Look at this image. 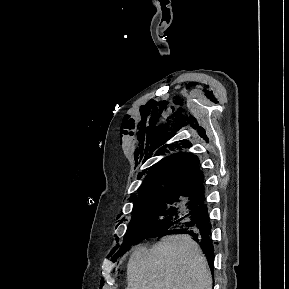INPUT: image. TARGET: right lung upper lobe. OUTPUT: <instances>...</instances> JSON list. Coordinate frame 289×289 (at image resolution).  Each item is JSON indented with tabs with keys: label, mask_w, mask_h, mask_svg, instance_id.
<instances>
[{
	"label": "right lung upper lobe",
	"mask_w": 289,
	"mask_h": 289,
	"mask_svg": "<svg viewBox=\"0 0 289 289\" xmlns=\"http://www.w3.org/2000/svg\"><path fill=\"white\" fill-rule=\"evenodd\" d=\"M138 194V198L168 194L202 195L203 173L198 158L192 154H177L163 159L149 169Z\"/></svg>",
	"instance_id": "cb5924a9"
}]
</instances>
